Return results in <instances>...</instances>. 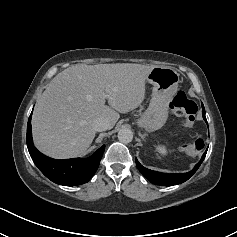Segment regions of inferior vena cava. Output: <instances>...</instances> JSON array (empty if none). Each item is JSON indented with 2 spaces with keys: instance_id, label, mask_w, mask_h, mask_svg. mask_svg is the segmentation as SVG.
<instances>
[{
  "instance_id": "inferior-vena-cava-1",
  "label": "inferior vena cava",
  "mask_w": 237,
  "mask_h": 237,
  "mask_svg": "<svg viewBox=\"0 0 237 237\" xmlns=\"http://www.w3.org/2000/svg\"><path fill=\"white\" fill-rule=\"evenodd\" d=\"M93 128L95 129V131H98V132L105 131L110 128V123L105 118H97L93 122Z\"/></svg>"
}]
</instances>
